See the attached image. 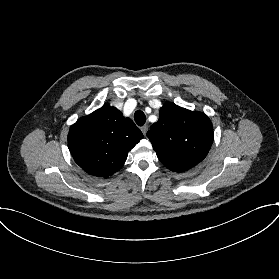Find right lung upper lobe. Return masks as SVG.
Masks as SVG:
<instances>
[{
    "label": "right lung upper lobe",
    "instance_id": "obj_1",
    "mask_svg": "<svg viewBox=\"0 0 279 279\" xmlns=\"http://www.w3.org/2000/svg\"><path fill=\"white\" fill-rule=\"evenodd\" d=\"M142 138L131 119L124 118L115 107L104 105L71 126L68 146L85 172L107 178L124 165L128 152Z\"/></svg>",
    "mask_w": 279,
    "mask_h": 279
}]
</instances>
